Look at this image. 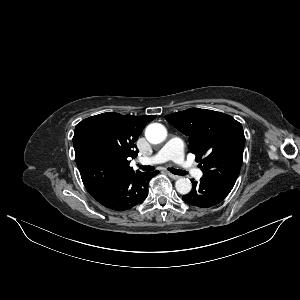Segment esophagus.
Listing matches in <instances>:
<instances>
[{"instance_id": "1", "label": "esophagus", "mask_w": 300, "mask_h": 300, "mask_svg": "<svg viewBox=\"0 0 300 300\" xmlns=\"http://www.w3.org/2000/svg\"><path fill=\"white\" fill-rule=\"evenodd\" d=\"M168 176H169L170 178L174 179V180H177V179L180 178V176L174 175V174H172V173H168Z\"/></svg>"}]
</instances>
